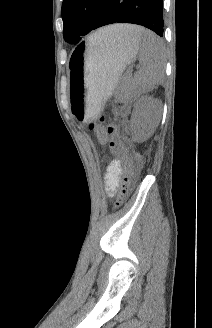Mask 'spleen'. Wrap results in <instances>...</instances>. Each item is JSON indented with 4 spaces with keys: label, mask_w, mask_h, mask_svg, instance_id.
<instances>
[{
    "label": "spleen",
    "mask_w": 212,
    "mask_h": 328,
    "mask_svg": "<svg viewBox=\"0 0 212 328\" xmlns=\"http://www.w3.org/2000/svg\"><path fill=\"white\" fill-rule=\"evenodd\" d=\"M133 39L139 43L138 57L141 64L135 82L140 92H149L162 82L164 76V46L156 34L141 27L136 28ZM89 41L99 43L96 34L91 35Z\"/></svg>",
    "instance_id": "3e777b00"
}]
</instances>
